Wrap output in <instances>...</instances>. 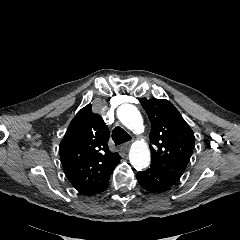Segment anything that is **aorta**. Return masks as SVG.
Segmentation results:
<instances>
[{"label":"aorta","instance_id":"aorta-1","mask_svg":"<svg viewBox=\"0 0 240 240\" xmlns=\"http://www.w3.org/2000/svg\"><path fill=\"white\" fill-rule=\"evenodd\" d=\"M117 117L120 122L133 132H141L143 129V119L138 109L131 104H123L117 109ZM131 165L142 170L150 164V151L145 143L135 142L129 151Z\"/></svg>","mask_w":240,"mask_h":240}]
</instances>
